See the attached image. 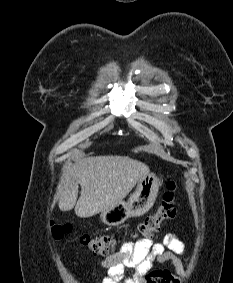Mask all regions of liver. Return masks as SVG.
<instances>
[{"instance_id": "obj_1", "label": "liver", "mask_w": 233, "mask_h": 283, "mask_svg": "<svg viewBox=\"0 0 233 283\" xmlns=\"http://www.w3.org/2000/svg\"><path fill=\"white\" fill-rule=\"evenodd\" d=\"M149 167L128 156H94L83 158L65 174L59 209L75 208L80 218H88L114 207L130 193ZM78 185L81 195L78 198Z\"/></svg>"}]
</instances>
